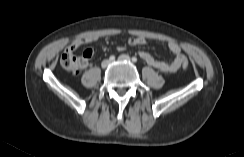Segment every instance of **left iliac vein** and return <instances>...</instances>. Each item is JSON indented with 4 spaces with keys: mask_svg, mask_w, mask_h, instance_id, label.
Segmentation results:
<instances>
[{
    "mask_svg": "<svg viewBox=\"0 0 244 157\" xmlns=\"http://www.w3.org/2000/svg\"><path fill=\"white\" fill-rule=\"evenodd\" d=\"M118 60L119 61H127V62H129L131 59H130V57L128 55L123 54V55H120L118 57Z\"/></svg>",
    "mask_w": 244,
    "mask_h": 157,
    "instance_id": "obj_1",
    "label": "left iliac vein"
}]
</instances>
